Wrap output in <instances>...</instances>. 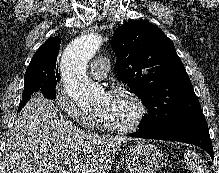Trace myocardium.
Wrapping results in <instances>:
<instances>
[{
	"mask_svg": "<svg viewBox=\"0 0 219 173\" xmlns=\"http://www.w3.org/2000/svg\"><path fill=\"white\" fill-rule=\"evenodd\" d=\"M111 93H119V94H124L128 96L134 102L136 109H137V113H136L134 120L129 125H126V126L111 125L110 123L106 122L102 118V116L98 113L101 126L108 132L115 133V134H121V135L130 134L138 130L140 126L142 125L146 117V114H147V108L145 106L144 101L135 91H133L131 88L126 87V86L114 87L110 90L108 94H111Z\"/></svg>",
	"mask_w": 219,
	"mask_h": 173,
	"instance_id": "myocardium-1",
	"label": "myocardium"
}]
</instances>
